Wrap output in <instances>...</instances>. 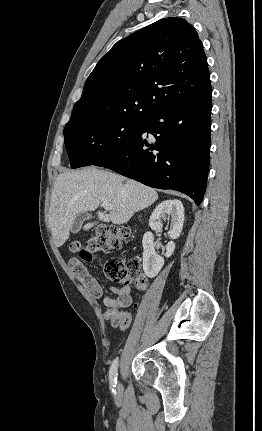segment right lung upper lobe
<instances>
[{
    "mask_svg": "<svg viewBox=\"0 0 262 431\" xmlns=\"http://www.w3.org/2000/svg\"><path fill=\"white\" fill-rule=\"evenodd\" d=\"M209 84L207 58L194 27L181 18H165L118 41L100 59L66 126L146 118Z\"/></svg>",
    "mask_w": 262,
    "mask_h": 431,
    "instance_id": "1",
    "label": "right lung upper lobe"
}]
</instances>
